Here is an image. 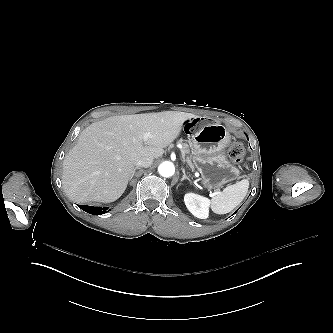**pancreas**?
I'll use <instances>...</instances> for the list:
<instances>
[{"mask_svg":"<svg viewBox=\"0 0 333 333\" xmlns=\"http://www.w3.org/2000/svg\"><path fill=\"white\" fill-rule=\"evenodd\" d=\"M190 153L189 146L186 143H182V149H181V156L183 159L184 163H187V166L191 169L194 170V165L191 162V159L189 157H186V154Z\"/></svg>","mask_w":333,"mask_h":333,"instance_id":"cf45deb5","label":"pancreas"}]
</instances>
